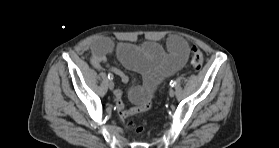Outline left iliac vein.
Masks as SVG:
<instances>
[{"instance_id": "4c4485c4", "label": "left iliac vein", "mask_w": 279, "mask_h": 148, "mask_svg": "<svg viewBox=\"0 0 279 148\" xmlns=\"http://www.w3.org/2000/svg\"><path fill=\"white\" fill-rule=\"evenodd\" d=\"M174 95H175L174 89H170V91H169V96H170V97H174Z\"/></svg>"}]
</instances>
